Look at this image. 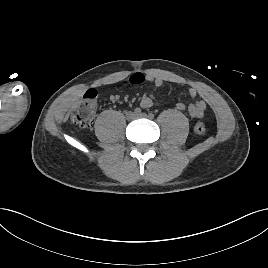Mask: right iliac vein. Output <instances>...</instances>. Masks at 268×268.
<instances>
[{
    "label": "right iliac vein",
    "mask_w": 268,
    "mask_h": 268,
    "mask_svg": "<svg viewBox=\"0 0 268 268\" xmlns=\"http://www.w3.org/2000/svg\"><path fill=\"white\" fill-rule=\"evenodd\" d=\"M126 118L128 119V120H133V119H135L136 118V114L134 113V112H127L126 113Z\"/></svg>",
    "instance_id": "1"
}]
</instances>
